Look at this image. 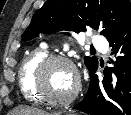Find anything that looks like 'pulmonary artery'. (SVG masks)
<instances>
[{"instance_id": "1", "label": "pulmonary artery", "mask_w": 131, "mask_h": 115, "mask_svg": "<svg viewBox=\"0 0 131 115\" xmlns=\"http://www.w3.org/2000/svg\"><path fill=\"white\" fill-rule=\"evenodd\" d=\"M93 45L104 52L107 51V43L103 36L95 34L93 36Z\"/></svg>"}]
</instances>
